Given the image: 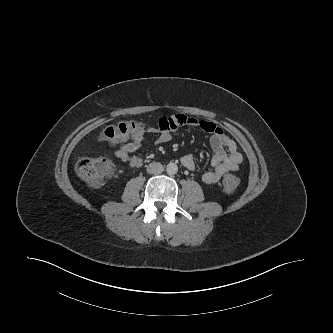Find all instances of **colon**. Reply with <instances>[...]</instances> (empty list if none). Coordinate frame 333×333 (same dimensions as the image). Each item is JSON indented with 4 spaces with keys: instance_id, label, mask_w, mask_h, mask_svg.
Masks as SVG:
<instances>
[{
    "instance_id": "obj_1",
    "label": "colon",
    "mask_w": 333,
    "mask_h": 333,
    "mask_svg": "<svg viewBox=\"0 0 333 333\" xmlns=\"http://www.w3.org/2000/svg\"><path fill=\"white\" fill-rule=\"evenodd\" d=\"M143 132L142 123L126 121L105 128L99 139L105 143L125 142ZM77 174L90 186L99 187L107 179L113 176L115 168L113 163L104 157H85L76 164ZM239 185V179L235 175L228 174L223 178V187L227 191L235 190Z\"/></svg>"
}]
</instances>
